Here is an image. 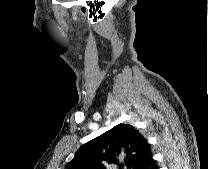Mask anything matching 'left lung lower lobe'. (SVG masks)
Masks as SVG:
<instances>
[{
    "mask_svg": "<svg viewBox=\"0 0 208 169\" xmlns=\"http://www.w3.org/2000/svg\"><path fill=\"white\" fill-rule=\"evenodd\" d=\"M140 169H158L154 159L152 158L151 151L146 154Z\"/></svg>",
    "mask_w": 208,
    "mask_h": 169,
    "instance_id": "left-lung-lower-lobe-1",
    "label": "left lung lower lobe"
}]
</instances>
